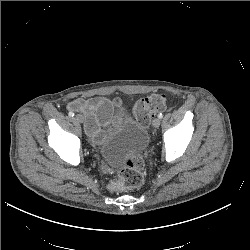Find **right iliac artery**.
Segmentation results:
<instances>
[{"mask_svg": "<svg viewBox=\"0 0 250 250\" xmlns=\"http://www.w3.org/2000/svg\"><path fill=\"white\" fill-rule=\"evenodd\" d=\"M70 117H73L74 116V113L71 111V112H69V114H68Z\"/></svg>", "mask_w": 250, "mask_h": 250, "instance_id": "82829eb1", "label": "right iliac artery"}]
</instances>
